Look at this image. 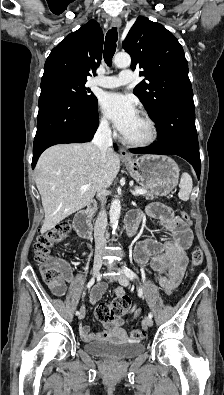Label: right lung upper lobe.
<instances>
[{
  "label": "right lung upper lobe",
  "instance_id": "obj_1",
  "mask_svg": "<svg viewBox=\"0 0 224 395\" xmlns=\"http://www.w3.org/2000/svg\"><path fill=\"white\" fill-rule=\"evenodd\" d=\"M103 33L98 22L91 20L67 35L52 49L44 65V74L59 72L87 80L102 58Z\"/></svg>",
  "mask_w": 224,
  "mask_h": 395
}]
</instances>
